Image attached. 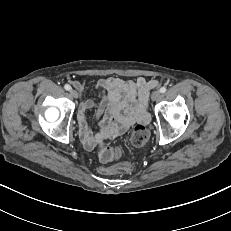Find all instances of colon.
<instances>
[{
  "instance_id": "obj_1",
  "label": "colon",
  "mask_w": 231,
  "mask_h": 231,
  "mask_svg": "<svg viewBox=\"0 0 231 231\" xmlns=\"http://www.w3.org/2000/svg\"><path fill=\"white\" fill-rule=\"evenodd\" d=\"M149 139V131L147 128L139 124L131 134L130 142L134 147L144 146ZM120 155V150L117 147L110 145H102L98 150L99 159L103 163L115 160ZM133 170V164L130 161H125L116 165L102 166L100 171L105 174H129Z\"/></svg>"
}]
</instances>
